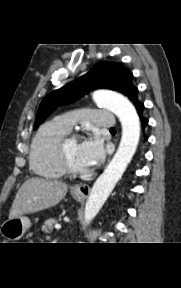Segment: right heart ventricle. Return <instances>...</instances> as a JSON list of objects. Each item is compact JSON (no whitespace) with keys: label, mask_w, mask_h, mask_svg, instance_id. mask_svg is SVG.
<instances>
[{"label":"right heart ventricle","mask_w":181,"mask_h":288,"mask_svg":"<svg viewBox=\"0 0 181 288\" xmlns=\"http://www.w3.org/2000/svg\"><path fill=\"white\" fill-rule=\"evenodd\" d=\"M68 133L56 120L43 124L35 134L29 155L31 170L46 179H59L65 173L57 156L59 141Z\"/></svg>","instance_id":"right-heart-ventricle-1"}]
</instances>
